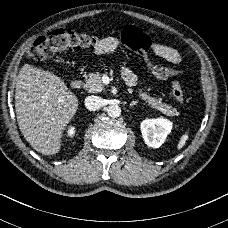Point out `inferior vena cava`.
<instances>
[{"mask_svg": "<svg viewBox=\"0 0 228 228\" xmlns=\"http://www.w3.org/2000/svg\"><path fill=\"white\" fill-rule=\"evenodd\" d=\"M85 107L90 111H96L103 105V99L99 96H88L85 98Z\"/></svg>", "mask_w": 228, "mask_h": 228, "instance_id": "inferior-vena-cava-1", "label": "inferior vena cava"}]
</instances>
